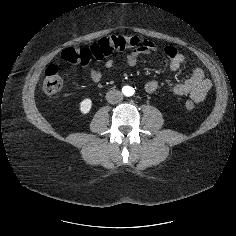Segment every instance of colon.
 Wrapping results in <instances>:
<instances>
[{"instance_id": "obj_1", "label": "colon", "mask_w": 236, "mask_h": 236, "mask_svg": "<svg viewBox=\"0 0 236 236\" xmlns=\"http://www.w3.org/2000/svg\"><path fill=\"white\" fill-rule=\"evenodd\" d=\"M144 43L138 37L112 35L102 38L87 47H68L61 52V59L67 63L75 65H87L90 61H101L114 51H123L142 46ZM63 87V79L57 65H50L44 75L43 89L48 94L58 93ZM186 107L192 109V101L186 102Z\"/></svg>"}]
</instances>
